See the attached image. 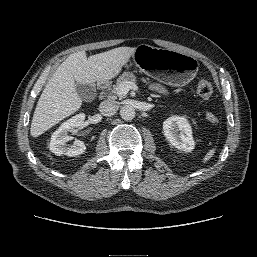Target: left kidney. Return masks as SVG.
Masks as SVG:
<instances>
[{
	"mask_svg": "<svg viewBox=\"0 0 257 257\" xmlns=\"http://www.w3.org/2000/svg\"><path fill=\"white\" fill-rule=\"evenodd\" d=\"M163 131L167 140L177 149L191 152L195 142L192 129L185 117L172 116L163 122Z\"/></svg>",
	"mask_w": 257,
	"mask_h": 257,
	"instance_id": "left-kidney-1",
	"label": "left kidney"
}]
</instances>
